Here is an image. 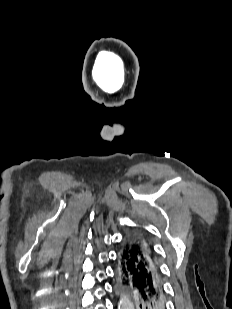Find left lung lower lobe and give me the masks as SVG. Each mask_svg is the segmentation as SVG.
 <instances>
[{
    "label": "left lung lower lobe",
    "instance_id": "left-lung-lower-lobe-1",
    "mask_svg": "<svg viewBox=\"0 0 232 309\" xmlns=\"http://www.w3.org/2000/svg\"><path fill=\"white\" fill-rule=\"evenodd\" d=\"M116 277L121 289L132 295L136 309H165L158 262L144 250L133 233L126 237L118 252Z\"/></svg>",
    "mask_w": 232,
    "mask_h": 309
}]
</instances>
